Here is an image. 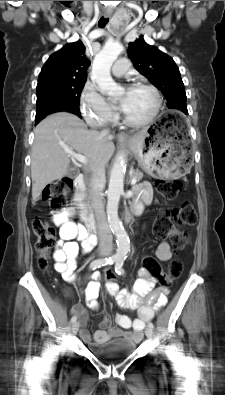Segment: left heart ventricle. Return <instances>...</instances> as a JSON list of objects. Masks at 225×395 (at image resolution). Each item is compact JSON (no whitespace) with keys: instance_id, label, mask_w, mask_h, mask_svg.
<instances>
[{"instance_id":"obj_1","label":"left heart ventricle","mask_w":225,"mask_h":395,"mask_svg":"<svg viewBox=\"0 0 225 395\" xmlns=\"http://www.w3.org/2000/svg\"><path fill=\"white\" fill-rule=\"evenodd\" d=\"M126 94L120 97L121 102ZM154 106V97L150 91L144 88H133L131 96L124 110L125 116L132 121H141L146 119Z\"/></svg>"}]
</instances>
